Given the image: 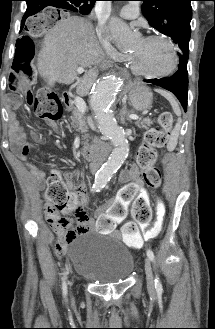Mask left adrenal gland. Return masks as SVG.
Wrapping results in <instances>:
<instances>
[{
	"instance_id": "a2214340",
	"label": "left adrenal gland",
	"mask_w": 215,
	"mask_h": 329,
	"mask_svg": "<svg viewBox=\"0 0 215 329\" xmlns=\"http://www.w3.org/2000/svg\"><path fill=\"white\" fill-rule=\"evenodd\" d=\"M128 114L129 112L127 111V105L123 104L122 109L120 111V119L122 124H125V120L130 121Z\"/></svg>"
}]
</instances>
